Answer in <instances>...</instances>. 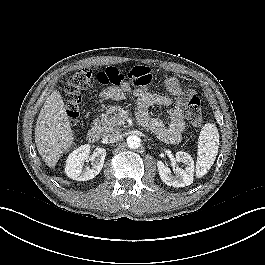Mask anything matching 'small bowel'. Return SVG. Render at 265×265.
I'll return each mask as SVG.
<instances>
[{
	"label": "small bowel",
	"instance_id": "obj_1",
	"mask_svg": "<svg viewBox=\"0 0 265 265\" xmlns=\"http://www.w3.org/2000/svg\"><path fill=\"white\" fill-rule=\"evenodd\" d=\"M130 72L147 81L139 84L132 80L134 87L131 82L125 81L120 86L106 88L102 93L103 96L107 99L118 101L122 100L127 93L132 92L138 99L137 116L140 124L152 130L162 141L170 144L178 143L185 129L183 106L189 98V94L175 78H167L164 81L168 96L152 93L147 89V85L150 82L148 68L138 66L134 67ZM151 106H170V123L166 125L161 119L150 117L148 109Z\"/></svg>",
	"mask_w": 265,
	"mask_h": 265
}]
</instances>
